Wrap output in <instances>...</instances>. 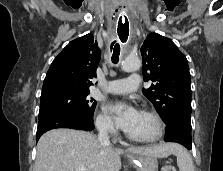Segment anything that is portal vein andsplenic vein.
Wrapping results in <instances>:
<instances>
[{
  "instance_id": "18ae733b",
  "label": "portal vein and splenic vein",
  "mask_w": 223,
  "mask_h": 171,
  "mask_svg": "<svg viewBox=\"0 0 223 171\" xmlns=\"http://www.w3.org/2000/svg\"><path fill=\"white\" fill-rule=\"evenodd\" d=\"M76 171H87V169H86V167L83 166V165H78V166L76 167Z\"/></svg>"
}]
</instances>
